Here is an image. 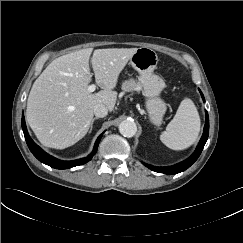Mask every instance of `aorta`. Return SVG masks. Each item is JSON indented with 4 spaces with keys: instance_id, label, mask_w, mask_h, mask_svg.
I'll return each mask as SVG.
<instances>
[{
    "instance_id": "1",
    "label": "aorta",
    "mask_w": 243,
    "mask_h": 243,
    "mask_svg": "<svg viewBox=\"0 0 243 243\" xmlns=\"http://www.w3.org/2000/svg\"><path fill=\"white\" fill-rule=\"evenodd\" d=\"M119 132L124 137H132L137 132V125L134 121L124 120L119 124Z\"/></svg>"
}]
</instances>
